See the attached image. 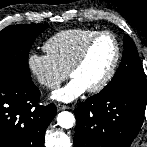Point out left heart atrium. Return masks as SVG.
Returning a JSON list of instances; mask_svg holds the SVG:
<instances>
[{
  "label": "left heart atrium",
  "instance_id": "39dd6f15",
  "mask_svg": "<svg viewBox=\"0 0 147 147\" xmlns=\"http://www.w3.org/2000/svg\"><path fill=\"white\" fill-rule=\"evenodd\" d=\"M87 90L86 85L79 79L72 78L66 85L54 91L51 97L56 101L69 103L76 100Z\"/></svg>",
  "mask_w": 147,
  "mask_h": 147
}]
</instances>
